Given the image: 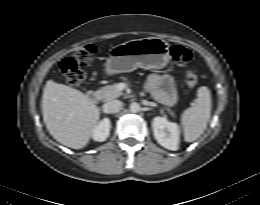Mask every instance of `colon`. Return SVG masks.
Returning <instances> with one entry per match:
<instances>
[{
  "mask_svg": "<svg viewBox=\"0 0 260 205\" xmlns=\"http://www.w3.org/2000/svg\"><path fill=\"white\" fill-rule=\"evenodd\" d=\"M95 52V46L88 44L77 48L70 57L62 60L61 71L69 85L79 86L83 83L85 72L82 67L92 62ZM170 52L177 64L186 65L192 60V52L182 45H173ZM185 81L191 88L196 86L198 82L197 73L194 70H189L185 75Z\"/></svg>",
  "mask_w": 260,
  "mask_h": 205,
  "instance_id": "colon-1",
  "label": "colon"
}]
</instances>
